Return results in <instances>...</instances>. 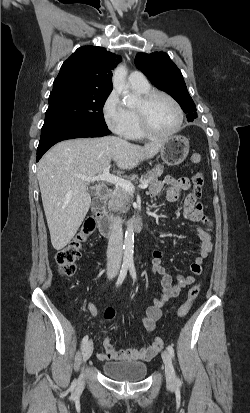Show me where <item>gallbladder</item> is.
<instances>
[{"instance_id": "bac80fb5", "label": "gallbladder", "mask_w": 250, "mask_h": 413, "mask_svg": "<svg viewBox=\"0 0 250 413\" xmlns=\"http://www.w3.org/2000/svg\"><path fill=\"white\" fill-rule=\"evenodd\" d=\"M95 193V190H91V194H94Z\"/></svg>"}]
</instances>
